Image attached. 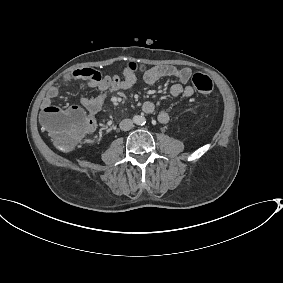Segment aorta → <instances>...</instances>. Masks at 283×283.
Returning a JSON list of instances; mask_svg holds the SVG:
<instances>
[{
	"label": "aorta",
	"mask_w": 283,
	"mask_h": 283,
	"mask_svg": "<svg viewBox=\"0 0 283 283\" xmlns=\"http://www.w3.org/2000/svg\"><path fill=\"white\" fill-rule=\"evenodd\" d=\"M134 122L137 125H144L146 123V120L143 116H135L134 117Z\"/></svg>",
	"instance_id": "aorta-1"
}]
</instances>
